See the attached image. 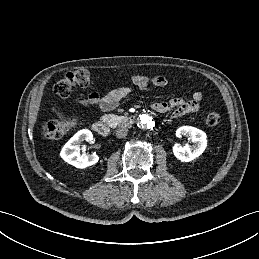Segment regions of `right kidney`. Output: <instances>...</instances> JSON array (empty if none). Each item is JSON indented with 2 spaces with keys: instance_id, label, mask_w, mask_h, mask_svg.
I'll return each instance as SVG.
<instances>
[{
  "instance_id": "ca27d5eb",
  "label": "right kidney",
  "mask_w": 259,
  "mask_h": 259,
  "mask_svg": "<svg viewBox=\"0 0 259 259\" xmlns=\"http://www.w3.org/2000/svg\"><path fill=\"white\" fill-rule=\"evenodd\" d=\"M93 134L88 129L78 131L62 148L60 156L67 163L76 168H86L98 162L99 157L95 153L88 155H80L79 144L83 141H91Z\"/></svg>"
}]
</instances>
